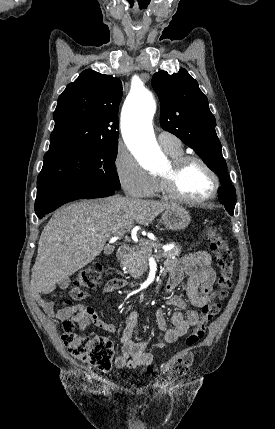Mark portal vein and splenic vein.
<instances>
[{"label":"portal vein and splenic vein","mask_w":275,"mask_h":429,"mask_svg":"<svg viewBox=\"0 0 275 429\" xmlns=\"http://www.w3.org/2000/svg\"><path fill=\"white\" fill-rule=\"evenodd\" d=\"M122 234H123V233H121V234H118V235L114 236V237L112 238V240H113V239H119V238L122 236ZM172 248H173V246H172V245H171V246H164V247H163V249H164V250H166V251H167V250H170V249H172Z\"/></svg>","instance_id":"obj_1"}]
</instances>
